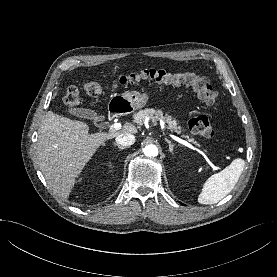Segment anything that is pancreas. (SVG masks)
Instances as JSON below:
<instances>
[{
  "instance_id": "obj_1",
  "label": "pancreas",
  "mask_w": 277,
  "mask_h": 277,
  "mask_svg": "<svg viewBox=\"0 0 277 277\" xmlns=\"http://www.w3.org/2000/svg\"><path fill=\"white\" fill-rule=\"evenodd\" d=\"M150 116H155V118H153V121H156L157 119H162L167 124V128L172 132L181 134L184 131L181 126H178L177 122L170 115H164L162 111L155 109L140 110L134 115V122L137 125L141 126L143 125L145 119ZM183 137L187 138L192 143L198 144L194 138H190L188 135H183Z\"/></svg>"
}]
</instances>
